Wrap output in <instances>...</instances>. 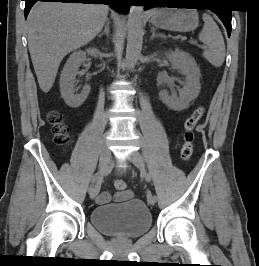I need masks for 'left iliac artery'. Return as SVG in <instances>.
<instances>
[{
  "label": "left iliac artery",
  "instance_id": "1",
  "mask_svg": "<svg viewBox=\"0 0 259 266\" xmlns=\"http://www.w3.org/2000/svg\"><path fill=\"white\" fill-rule=\"evenodd\" d=\"M146 179H147V181H150L151 180V176L149 174H147ZM152 197H154V200L158 199V196H155V194H152Z\"/></svg>",
  "mask_w": 259,
  "mask_h": 266
}]
</instances>
